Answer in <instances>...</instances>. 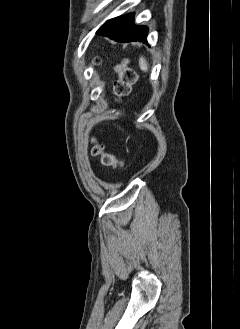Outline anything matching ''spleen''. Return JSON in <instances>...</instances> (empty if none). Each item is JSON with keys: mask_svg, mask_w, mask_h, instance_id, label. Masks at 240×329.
Listing matches in <instances>:
<instances>
[{"mask_svg": "<svg viewBox=\"0 0 240 329\" xmlns=\"http://www.w3.org/2000/svg\"><path fill=\"white\" fill-rule=\"evenodd\" d=\"M139 66H140V69L142 71H144V72H147L148 71L149 64L146 61V59L144 57H142V56L139 58Z\"/></svg>", "mask_w": 240, "mask_h": 329, "instance_id": "spleen-1", "label": "spleen"}]
</instances>
